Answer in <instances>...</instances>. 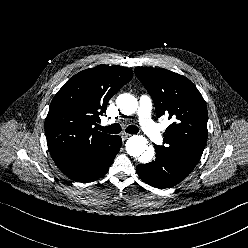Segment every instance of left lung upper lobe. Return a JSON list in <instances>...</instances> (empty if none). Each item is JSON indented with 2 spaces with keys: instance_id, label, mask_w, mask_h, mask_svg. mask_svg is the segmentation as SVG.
I'll use <instances>...</instances> for the list:
<instances>
[{
  "instance_id": "obj_1",
  "label": "left lung upper lobe",
  "mask_w": 248,
  "mask_h": 248,
  "mask_svg": "<svg viewBox=\"0 0 248 248\" xmlns=\"http://www.w3.org/2000/svg\"><path fill=\"white\" fill-rule=\"evenodd\" d=\"M135 74L152 97L157 117L167 115L174 121L163 134L165 146L154 145L155 150L191 172L208 135L202 95L189 79L166 69L137 67Z\"/></svg>"
}]
</instances>
